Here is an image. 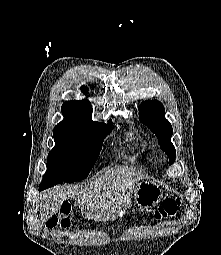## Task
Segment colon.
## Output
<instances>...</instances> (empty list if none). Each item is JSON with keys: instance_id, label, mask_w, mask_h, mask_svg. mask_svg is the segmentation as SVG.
I'll use <instances>...</instances> for the list:
<instances>
[{"instance_id": "obj_1", "label": "colon", "mask_w": 221, "mask_h": 255, "mask_svg": "<svg viewBox=\"0 0 221 255\" xmlns=\"http://www.w3.org/2000/svg\"><path fill=\"white\" fill-rule=\"evenodd\" d=\"M180 206V201L178 199H166L158 207L154 214V220H162L165 218L173 217L176 215ZM70 206L69 204H63L59 214L52 216L48 220V226L54 228L60 226L63 229L70 227L69 220Z\"/></svg>"}]
</instances>
